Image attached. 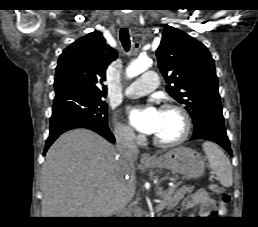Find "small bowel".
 <instances>
[{"label": "small bowel", "instance_id": "obj_1", "mask_svg": "<svg viewBox=\"0 0 258 227\" xmlns=\"http://www.w3.org/2000/svg\"><path fill=\"white\" fill-rule=\"evenodd\" d=\"M196 205H200V210L198 213L200 217H209L214 212L224 214L226 211L224 204L215 201L207 190H199L187 196L181 203L179 210L188 211ZM190 214L193 215L192 213Z\"/></svg>", "mask_w": 258, "mask_h": 227}]
</instances>
